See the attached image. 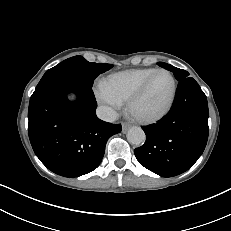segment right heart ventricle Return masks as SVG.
Here are the masks:
<instances>
[{"label":"right heart ventricle","instance_id":"right-heart-ventricle-1","mask_svg":"<svg viewBox=\"0 0 231 231\" xmlns=\"http://www.w3.org/2000/svg\"><path fill=\"white\" fill-rule=\"evenodd\" d=\"M155 70L139 68L111 74L101 82L100 90L120 103L126 102Z\"/></svg>","mask_w":231,"mask_h":231}]
</instances>
